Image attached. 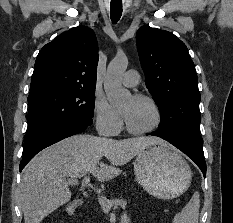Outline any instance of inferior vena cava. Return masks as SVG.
I'll use <instances>...</instances> for the list:
<instances>
[{
  "label": "inferior vena cava",
  "instance_id": "1",
  "mask_svg": "<svg viewBox=\"0 0 233 223\" xmlns=\"http://www.w3.org/2000/svg\"><path fill=\"white\" fill-rule=\"evenodd\" d=\"M99 135H103L102 131H98Z\"/></svg>",
  "mask_w": 233,
  "mask_h": 223
}]
</instances>
